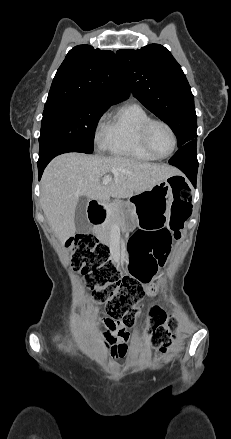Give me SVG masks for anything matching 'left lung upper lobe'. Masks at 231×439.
<instances>
[{"instance_id":"5c2ea615","label":"left lung upper lobe","mask_w":231,"mask_h":439,"mask_svg":"<svg viewBox=\"0 0 231 439\" xmlns=\"http://www.w3.org/2000/svg\"><path fill=\"white\" fill-rule=\"evenodd\" d=\"M116 57L133 95L167 123L180 148L197 137L194 96L181 66L162 45L121 49Z\"/></svg>"}]
</instances>
